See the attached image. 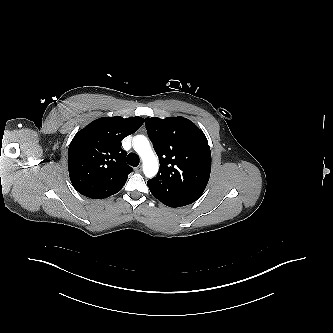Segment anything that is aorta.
<instances>
[{
	"instance_id": "aorta-1",
	"label": "aorta",
	"mask_w": 333,
	"mask_h": 333,
	"mask_svg": "<svg viewBox=\"0 0 333 333\" xmlns=\"http://www.w3.org/2000/svg\"><path fill=\"white\" fill-rule=\"evenodd\" d=\"M133 148L143 161V172L146 177H154L159 169L158 158L154 154L147 137L137 135L133 138Z\"/></svg>"
}]
</instances>
